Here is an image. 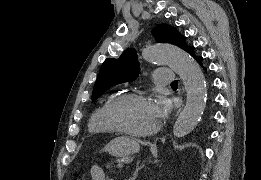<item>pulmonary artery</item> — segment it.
<instances>
[{
    "instance_id": "e3ab8cb5",
    "label": "pulmonary artery",
    "mask_w": 261,
    "mask_h": 180,
    "mask_svg": "<svg viewBox=\"0 0 261 180\" xmlns=\"http://www.w3.org/2000/svg\"><path fill=\"white\" fill-rule=\"evenodd\" d=\"M155 77L153 83H175V78H163V77H178V72H171V67H156L154 71Z\"/></svg>"
}]
</instances>
